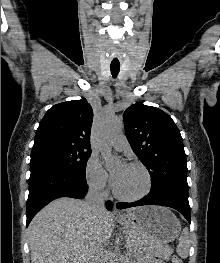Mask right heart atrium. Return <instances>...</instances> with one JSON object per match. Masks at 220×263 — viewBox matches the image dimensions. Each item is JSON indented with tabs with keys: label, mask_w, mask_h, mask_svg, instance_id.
Returning a JSON list of instances; mask_svg holds the SVG:
<instances>
[{
	"label": "right heart atrium",
	"mask_w": 220,
	"mask_h": 263,
	"mask_svg": "<svg viewBox=\"0 0 220 263\" xmlns=\"http://www.w3.org/2000/svg\"><path fill=\"white\" fill-rule=\"evenodd\" d=\"M84 175L86 183L92 191L104 193L109 188V176L96 155H91L88 158L85 165Z\"/></svg>",
	"instance_id": "obj_1"
}]
</instances>
